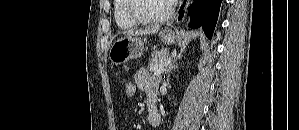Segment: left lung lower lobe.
Returning <instances> with one entry per match:
<instances>
[{
	"mask_svg": "<svg viewBox=\"0 0 299 130\" xmlns=\"http://www.w3.org/2000/svg\"><path fill=\"white\" fill-rule=\"evenodd\" d=\"M222 0H194L189 8L191 23L189 27H202L205 35L211 39L219 15Z\"/></svg>",
	"mask_w": 299,
	"mask_h": 130,
	"instance_id": "0a47b994",
	"label": "left lung lower lobe"
}]
</instances>
